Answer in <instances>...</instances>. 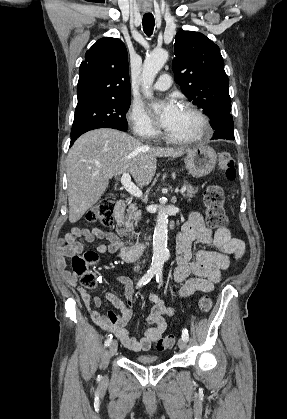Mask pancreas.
<instances>
[{
	"mask_svg": "<svg viewBox=\"0 0 287 419\" xmlns=\"http://www.w3.org/2000/svg\"><path fill=\"white\" fill-rule=\"evenodd\" d=\"M184 186L186 187V193L184 194L187 198H192L197 192L190 184L185 183ZM141 218V210H138L135 204H131L127 208V215L122 220L121 224L125 226L126 231H133L134 226H137L138 221Z\"/></svg>",
	"mask_w": 287,
	"mask_h": 419,
	"instance_id": "1",
	"label": "pancreas"
}]
</instances>
